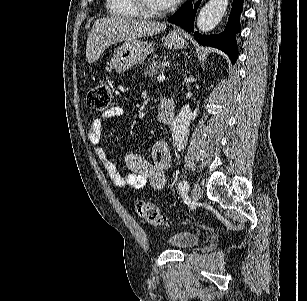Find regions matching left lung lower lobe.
I'll list each match as a JSON object with an SVG mask.
<instances>
[{
  "label": "left lung lower lobe",
  "instance_id": "obj_1",
  "mask_svg": "<svg viewBox=\"0 0 307 301\" xmlns=\"http://www.w3.org/2000/svg\"><path fill=\"white\" fill-rule=\"evenodd\" d=\"M199 3L200 2H197L193 6L190 1L186 2L171 18H169L168 21L180 26L189 33L193 32L194 18ZM242 4L243 0H233V6L228 23L221 34L200 35L198 32H195L194 34V38L197 39L198 43L206 46H213L227 53L232 63H235L238 57L235 34L241 31L239 18L242 11Z\"/></svg>",
  "mask_w": 307,
  "mask_h": 301
}]
</instances>
